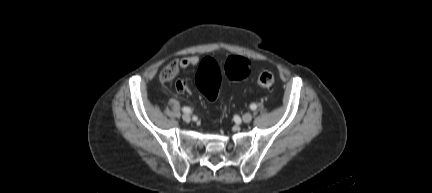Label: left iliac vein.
I'll return each instance as SVG.
<instances>
[{"mask_svg":"<svg viewBox=\"0 0 432 193\" xmlns=\"http://www.w3.org/2000/svg\"><path fill=\"white\" fill-rule=\"evenodd\" d=\"M252 118H253V116H252L251 113H245V114L242 116V120H243V122H245V123H249V122H251Z\"/></svg>","mask_w":432,"mask_h":193,"instance_id":"4c4485c4","label":"left iliac vein"}]
</instances>
